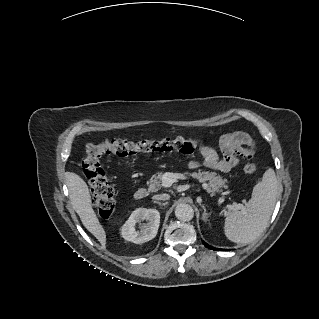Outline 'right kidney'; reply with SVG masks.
Returning a JSON list of instances; mask_svg holds the SVG:
<instances>
[{
	"instance_id": "1",
	"label": "right kidney",
	"mask_w": 319,
	"mask_h": 319,
	"mask_svg": "<svg viewBox=\"0 0 319 319\" xmlns=\"http://www.w3.org/2000/svg\"><path fill=\"white\" fill-rule=\"evenodd\" d=\"M146 220V223L141 221ZM160 213L156 209L138 208L132 212L121 228L122 237L136 244L153 239L159 228ZM140 230H137L136 227Z\"/></svg>"
}]
</instances>
